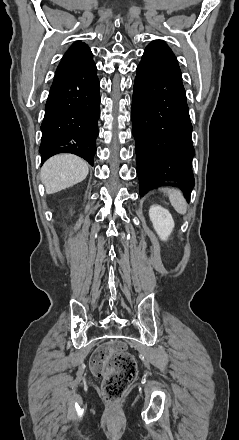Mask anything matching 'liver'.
I'll return each mask as SVG.
<instances>
[{"label": "liver", "mask_w": 239, "mask_h": 440, "mask_svg": "<svg viewBox=\"0 0 239 440\" xmlns=\"http://www.w3.org/2000/svg\"><path fill=\"white\" fill-rule=\"evenodd\" d=\"M89 172L88 164L72 154H59L45 162L40 178L46 194H55L85 180Z\"/></svg>", "instance_id": "liver-1"}]
</instances>
